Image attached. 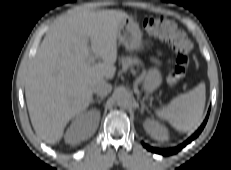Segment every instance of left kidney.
<instances>
[{
	"label": "left kidney",
	"instance_id": "5707ae66",
	"mask_svg": "<svg viewBox=\"0 0 231 170\" xmlns=\"http://www.w3.org/2000/svg\"><path fill=\"white\" fill-rule=\"evenodd\" d=\"M145 130L151 135L152 138L159 140V141H166L168 140V130L165 126L160 124L159 122L147 119L144 122Z\"/></svg>",
	"mask_w": 231,
	"mask_h": 170
}]
</instances>
